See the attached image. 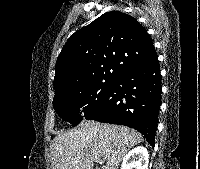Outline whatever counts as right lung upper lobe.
<instances>
[{
    "label": "right lung upper lobe",
    "mask_w": 200,
    "mask_h": 169,
    "mask_svg": "<svg viewBox=\"0 0 200 169\" xmlns=\"http://www.w3.org/2000/svg\"><path fill=\"white\" fill-rule=\"evenodd\" d=\"M156 59L150 36L134 17L120 11L104 13L64 45L56 63L54 100Z\"/></svg>",
    "instance_id": "cb5924a9"
}]
</instances>
